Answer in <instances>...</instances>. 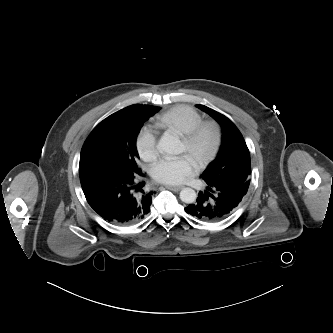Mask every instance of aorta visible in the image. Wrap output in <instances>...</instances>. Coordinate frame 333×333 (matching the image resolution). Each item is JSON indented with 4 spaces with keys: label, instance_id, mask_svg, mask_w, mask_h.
<instances>
[{
    "label": "aorta",
    "instance_id": "1",
    "mask_svg": "<svg viewBox=\"0 0 333 333\" xmlns=\"http://www.w3.org/2000/svg\"><path fill=\"white\" fill-rule=\"evenodd\" d=\"M157 148L162 153L180 154L183 152L181 141L175 136L164 135L158 142ZM180 199L182 202L192 204L196 201V192L192 188H183L180 191Z\"/></svg>",
    "mask_w": 333,
    "mask_h": 333
}]
</instances>
